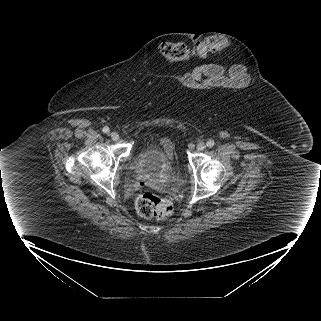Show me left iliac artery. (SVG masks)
I'll list each match as a JSON object with an SVG mask.
<instances>
[{
	"mask_svg": "<svg viewBox=\"0 0 321 321\" xmlns=\"http://www.w3.org/2000/svg\"><path fill=\"white\" fill-rule=\"evenodd\" d=\"M214 145H215L214 140H209V141L207 142V147H209V148L213 147Z\"/></svg>",
	"mask_w": 321,
	"mask_h": 321,
	"instance_id": "obj_1",
	"label": "left iliac artery"
}]
</instances>
